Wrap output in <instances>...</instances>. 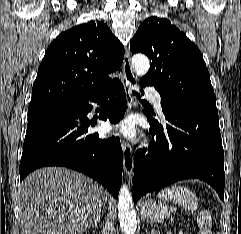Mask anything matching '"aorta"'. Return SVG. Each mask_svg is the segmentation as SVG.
<instances>
[{"label": "aorta", "mask_w": 241, "mask_h": 234, "mask_svg": "<svg viewBox=\"0 0 241 234\" xmlns=\"http://www.w3.org/2000/svg\"><path fill=\"white\" fill-rule=\"evenodd\" d=\"M132 66L138 76L145 75L150 67L149 59L142 54L132 57ZM118 218L124 234H135L137 228L136 212L129 187L122 185L118 196Z\"/></svg>", "instance_id": "762f6f07"}]
</instances>
